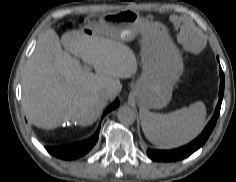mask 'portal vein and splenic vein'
I'll return each mask as SVG.
<instances>
[{"instance_id": "18ae733b", "label": "portal vein and splenic vein", "mask_w": 236, "mask_h": 182, "mask_svg": "<svg viewBox=\"0 0 236 182\" xmlns=\"http://www.w3.org/2000/svg\"><path fill=\"white\" fill-rule=\"evenodd\" d=\"M84 69L87 70V71H89V70H90V67L85 66Z\"/></svg>"}]
</instances>
